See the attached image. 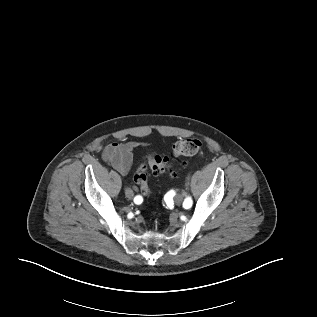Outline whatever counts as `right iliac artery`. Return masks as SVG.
<instances>
[{
  "instance_id": "obj_1",
  "label": "right iliac artery",
  "mask_w": 317,
  "mask_h": 317,
  "mask_svg": "<svg viewBox=\"0 0 317 317\" xmlns=\"http://www.w3.org/2000/svg\"><path fill=\"white\" fill-rule=\"evenodd\" d=\"M142 201H143V198H142V196H140V195H138V196H136V197L134 198V202H135L136 204H141Z\"/></svg>"
}]
</instances>
